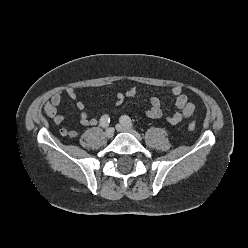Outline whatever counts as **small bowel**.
<instances>
[{
	"label": "small bowel",
	"instance_id": "small-bowel-1",
	"mask_svg": "<svg viewBox=\"0 0 248 248\" xmlns=\"http://www.w3.org/2000/svg\"><path fill=\"white\" fill-rule=\"evenodd\" d=\"M67 96L76 102V107L79 111L78 120L83 126H95L98 124V119L90 117L86 111L85 104L79 100L76 90L69 87L65 90ZM171 94L175 97V105L177 111L172 115L166 117L167 121L176 125L185 119L190 118L194 111L195 105L188 100L187 95L184 93L180 86H175L171 89ZM138 95L136 87L129 88L125 93H117L115 96V104L121 105L125 98H133ZM63 98V92H56L46 103L44 104V112L47 117H49L55 125H60L64 121V116L59 113L58 108L61 104ZM147 117L151 119H158L162 117L161 101L158 97L152 96L150 98V105L146 110ZM59 133L63 137L75 138L78 136V132L74 129H68L62 127Z\"/></svg>",
	"mask_w": 248,
	"mask_h": 248
}]
</instances>
